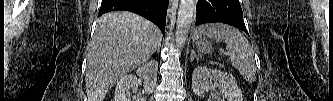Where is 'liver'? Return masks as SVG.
I'll use <instances>...</instances> for the list:
<instances>
[{
	"label": "liver",
	"instance_id": "obj_1",
	"mask_svg": "<svg viewBox=\"0 0 333 101\" xmlns=\"http://www.w3.org/2000/svg\"><path fill=\"white\" fill-rule=\"evenodd\" d=\"M161 39L160 30L137 14L115 11L100 17L87 55L88 101H103L118 80L150 58Z\"/></svg>",
	"mask_w": 333,
	"mask_h": 101
}]
</instances>
